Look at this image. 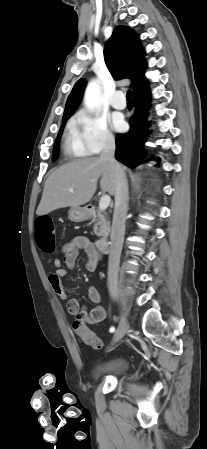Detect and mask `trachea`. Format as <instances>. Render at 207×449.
I'll return each mask as SVG.
<instances>
[{
  "label": "trachea",
  "instance_id": "obj_1",
  "mask_svg": "<svg viewBox=\"0 0 207 449\" xmlns=\"http://www.w3.org/2000/svg\"><path fill=\"white\" fill-rule=\"evenodd\" d=\"M126 99L128 102H132V92L131 90H128L127 94H126Z\"/></svg>",
  "mask_w": 207,
  "mask_h": 449
}]
</instances>
